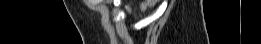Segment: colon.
Returning <instances> with one entry per match:
<instances>
[{"label":"colon","instance_id":"5ec220e1","mask_svg":"<svg viewBox=\"0 0 261 44\" xmlns=\"http://www.w3.org/2000/svg\"><path fill=\"white\" fill-rule=\"evenodd\" d=\"M145 2L147 3V5L153 6L155 4L156 0H147Z\"/></svg>","mask_w":261,"mask_h":44}]
</instances>
